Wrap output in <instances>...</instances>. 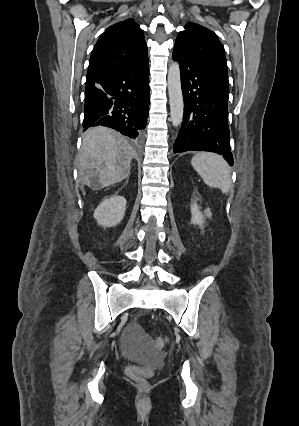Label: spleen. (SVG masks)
<instances>
[{
    "mask_svg": "<svg viewBox=\"0 0 299 426\" xmlns=\"http://www.w3.org/2000/svg\"><path fill=\"white\" fill-rule=\"evenodd\" d=\"M193 168L203 181L212 188L228 193L231 185V171L227 162L214 153H198L191 160Z\"/></svg>",
    "mask_w": 299,
    "mask_h": 426,
    "instance_id": "3e777b00",
    "label": "spleen"
}]
</instances>
